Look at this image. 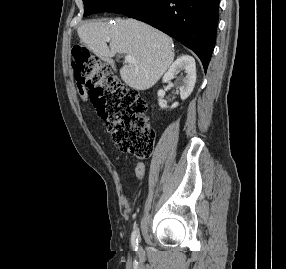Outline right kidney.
I'll use <instances>...</instances> for the list:
<instances>
[{
  "instance_id": "obj_1",
  "label": "right kidney",
  "mask_w": 286,
  "mask_h": 269,
  "mask_svg": "<svg viewBox=\"0 0 286 269\" xmlns=\"http://www.w3.org/2000/svg\"><path fill=\"white\" fill-rule=\"evenodd\" d=\"M178 70H182L186 74L183 80V85L180 87V97L182 100H185L192 93L196 82V65L194 58L189 55H182L179 57L165 73L163 82L166 83L173 79ZM157 95L159 97V106L161 108H167V102L162 100L165 95V91L160 89ZM178 105V102H175L171 108H176Z\"/></svg>"
}]
</instances>
